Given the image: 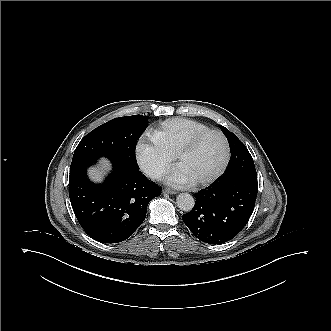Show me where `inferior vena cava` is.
Listing matches in <instances>:
<instances>
[{
	"label": "inferior vena cava",
	"instance_id": "obj_1",
	"mask_svg": "<svg viewBox=\"0 0 331 331\" xmlns=\"http://www.w3.org/2000/svg\"><path fill=\"white\" fill-rule=\"evenodd\" d=\"M145 174L151 179L161 178L163 175V171L160 168L148 167L144 170Z\"/></svg>",
	"mask_w": 331,
	"mask_h": 331
}]
</instances>
